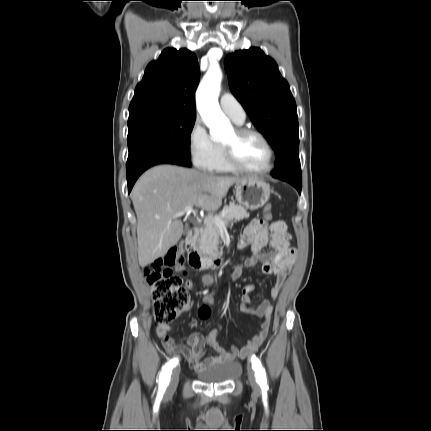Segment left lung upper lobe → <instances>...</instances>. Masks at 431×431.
<instances>
[{"label": "left lung upper lobe", "instance_id": "left-lung-upper-lobe-1", "mask_svg": "<svg viewBox=\"0 0 431 431\" xmlns=\"http://www.w3.org/2000/svg\"><path fill=\"white\" fill-rule=\"evenodd\" d=\"M230 90L276 154L273 177H301L295 100L276 62L256 47L229 54L224 62Z\"/></svg>", "mask_w": 431, "mask_h": 431}]
</instances>
